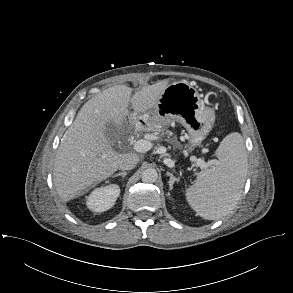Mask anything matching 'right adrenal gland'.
Instances as JSON below:
<instances>
[{
  "label": "right adrenal gland",
  "instance_id": "right-adrenal-gland-1",
  "mask_svg": "<svg viewBox=\"0 0 293 293\" xmlns=\"http://www.w3.org/2000/svg\"><path fill=\"white\" fill-rule=\"evenodd\" d=\"M126 175H127L126 172H120V173L115 174L113 177L122 176L124 178Z\"/></svg>",
  "mask_w": 293,
  "mask_h": 293
}]
</instances>
